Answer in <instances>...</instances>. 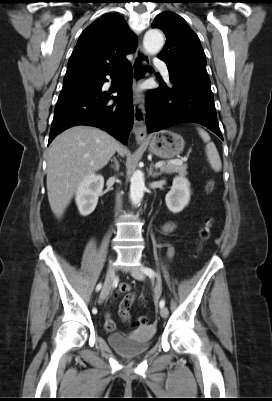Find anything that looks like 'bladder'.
I'll list each match as a JSON object with an SVG mask.
<instances>
[{"mask_svg": "<svg viewBox=\"0 0 272 401\" xmlns=\"http://www.w3.org/2000/svg\"><path fill=\"white\" fill-rule=\"evenodd\" d=\"M155 333L156 328L154 326H142L130 334L111 333L108 336V343L123 356H139L148 352L151 339Z\"/></svg>", "mask_w": 272, "mask_h": 401, "instance_id": "1", "label": "bladder"}]
</instances>
